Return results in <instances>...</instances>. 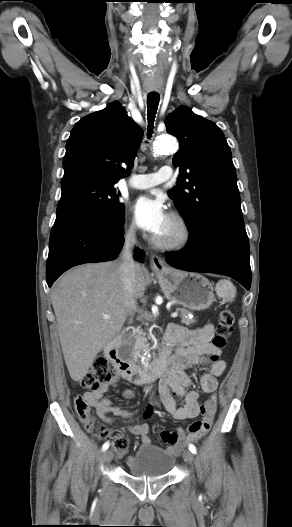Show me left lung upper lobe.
Returning a JSON list of instances; mask_svg holds the SVG:
<instances>
[{
  "label": "left lung upper lobe",
  "instance_id": "1",
  "mask_svg": "<svg viewBox=\"0 0 292 527\" xmlns=\"http://www.w3.org/2000/svg\"><path fill=\"white\" fill-rule=\"evenodd\" d=\"M165 125L180 143L172 159L180 167L178 186L169 196L189 232L213 223H244L231 151L219 127L185 106L170 114Z\"/></svg>",
  "mask_w": 292,
  "mask_h": 527
}]
</instances>
